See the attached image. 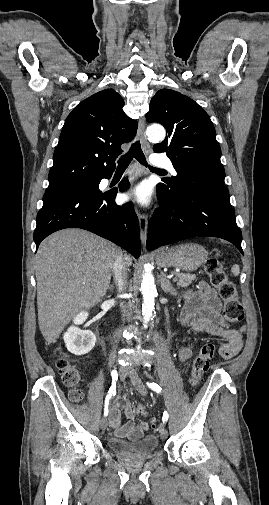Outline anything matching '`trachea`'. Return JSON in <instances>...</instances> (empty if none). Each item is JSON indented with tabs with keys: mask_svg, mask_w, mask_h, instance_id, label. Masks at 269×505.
<instances>
[{
	"mask_svg": "<svg viewBox=\"0 0 269 505\" xmlns=\"http://www.w3.org/2000/svg\"><path fill=\"white\" fill-rule=\"evenodd\" d=\"M133 158L138 160L140 164L149 167V169L152 171L164 172V170L153 168L152 166L148 165L139 141L133 143L129 151L118 160L117 170H125Z\"/></svg>",
	"mask_w": 269,
	"mask_h": 505,
	"instance_id": "obj_1",
	"label": "trachea"
}]
</instances>
